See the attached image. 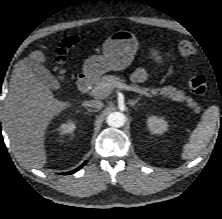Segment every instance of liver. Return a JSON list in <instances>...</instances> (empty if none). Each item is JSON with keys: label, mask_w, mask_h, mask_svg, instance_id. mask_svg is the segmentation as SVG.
Instances as JSON below:
<instances>
[{"label": "liver", "mask_w": 222, "mask_h": 219, "mask_svg": "<svg viewBox=\"0 0 222 219\" xmlns=\"http://www.w3.org/2000/svg\"><path fill=\"white\" fill-rule=\"evenodd\" d=\"M33 61L46 62L41 50L15 64L5 99V129L19 159L41 169L47 162L45 132L51 120L72 105L54 97L32 70Z\"/></svg>", "instance_id": "obj_1"}]
</instances>
